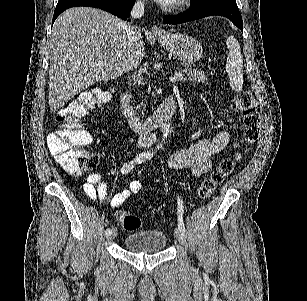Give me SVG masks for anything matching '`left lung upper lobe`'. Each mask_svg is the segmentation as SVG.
<instances>
[{"label": "left lung upper lobe", "mask_w": 307, "mask_h": 301, "mask_svg": "<svg viewBox=\"0 0 307 301\" xmlns=\"http://www.w3.org/2000/svg\"><path fill=\"white\" fill-rule=\"evenodd\" d=\"M210 3H222L237 7L236 0H193L191 7L206 5Z\"/></svg>", "instance_id": "left-lung-upper-lobe-1"}]
</instances>
